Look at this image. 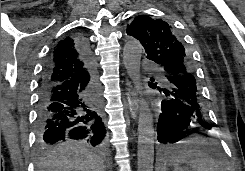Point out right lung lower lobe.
Returning a JSON list of instances; mask_svg holds the SVG:
<instances>
[{
  "instance_id": "right-lung-lower-lobe-1",
  "label": "right lung lower lobe",
  "mask_w": 245,
  "mask_h": 171,
  "mask_svg": "<svg viewBox=\"0 0 245 171\" xmlns=\"http://www.w3.org/2000/svg\"><path fill=\"white\" fill-rule=\"evenodd\" d=\"M77 43L89 67L88 75L49 83L52 65L49 59L45 64L37 108V137L41 143L73 139L96 146L104 141L106 130L91 50L84 39L78 38Z\"/></svg>"
}]
</instances>
